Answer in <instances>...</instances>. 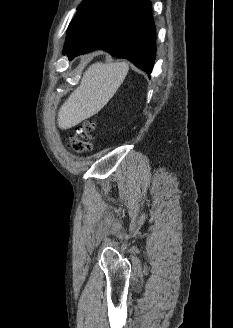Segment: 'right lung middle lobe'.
Instances as JSON below:
<instances>
[{
	"instance_id": "obj_1",
	"label": "right lung middle lobe",
	"mask_w": 233,
	"mask_h": 328,
	"mask_svg": "<svg viewBox=\"0 0 233 328\" xmlns=\"http://www.w3.org/2000/svg\"><path fill=\"white\" fill-rule=\"evenodd\" d=\"M92 0H83L80 6L78 7V10L84 8L86 5H88Z\"/></svg>"
}]
</instances>
